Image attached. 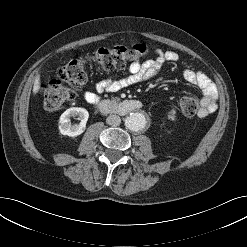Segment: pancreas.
Wrapping results in <instances>:
<instances>
[{"label": "pancreas", "mask_w": 247, "mask_h": 247, "mask_svg": "<svg viewBox=\"0 0 247 247\" xmlns=\"http://www.w3.org/2000/svg\"><path fill=\"white\" fill-rule=\"evenodd\" d=\"M119 100H120L119 97H112V101H113V102H118Z\"/></svg>", "instance_id": "pancreas-1"}]
</instances>
